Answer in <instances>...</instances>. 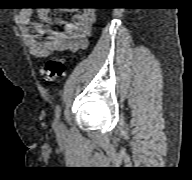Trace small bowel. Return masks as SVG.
Wrapping results in <instances>:
<instances>
[{
  "label": "small bowel",
  "mask_w": 192,
  "mask_h": 180,
  "mask_svg": "<svg viewBox=\"0 0 192 180\" xmlns=\"http://www.w3.org/2000/svg\"><path fill=\"white\" fill-rule=\"evenodd\" d=\"M38 16L40 21L34 22L29 9L21 10L18 16L25 42L32 55L45 58L57 52L76 51L88 46L95 21L94 11L87 9L78 12L67 22L53 18L46 8L40 9ZM45 24L63 25L64 30L47 28ZM42 34L46 36L40 38Z\"/></svg>",
  "instance_id": "obj_1"
}]
</instances>
